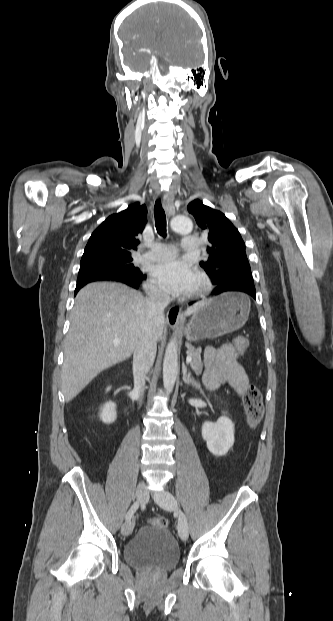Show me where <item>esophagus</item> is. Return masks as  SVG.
<instances>
[{
  "instance_id": "1",
  "label": "esophagus",
  "mask_w": 333,
  "mask_h": 621,
  "mask_svg": "<svg viewBox=\"0 0 333 621\" xmlns=\"http://www.w3.org/2000/svg\"><path fill=\"white\" fill-rule=\"evenodd\" d=\"M163 207L167 211L169 216L174 215V193L169 191L163 196ZM181 306H173L167 312V323L170 326H180L184 322V317L181 312Z\"/></svg>"
}]
</instances>
